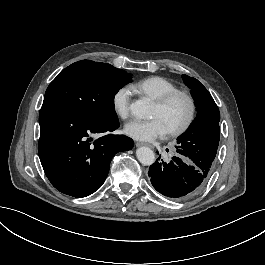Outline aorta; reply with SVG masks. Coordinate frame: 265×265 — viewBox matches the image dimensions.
I'll return each instance as SVG.
<instances>
[{
  "label": "aorta",
  "mask_w": 265,
  "mask_h": 265,
  "mask_svg": "<svg viewBox=\"0 0 265 265\" xmlns=\"http://www.w3.org/2000/svg\"><path fill=\"white\" fill-rule=\"evenodd\" d=\"M133 116L138 119H147L150 117V103L147 99L137 100L130 105ZM136 156L140 163L150 166L155 162V154L148 147H140L136 150Z\"/></svg>",
  "instance_id": "obj_1"
}]
</instances>
